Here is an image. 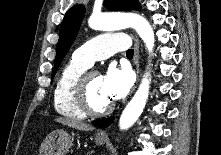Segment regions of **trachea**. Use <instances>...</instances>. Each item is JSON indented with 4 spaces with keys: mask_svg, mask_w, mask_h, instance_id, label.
Returning a JSON list of instances; mask_svg holds the SVG:
<instances>
[{
    "mask_svg": "<svg viewBox=\"0 0 221 155\" xmlns=\"http://www.w3.org/2000/svg\"><path fill=\"white\" fill-rule=\"evenodd\" d=\"M134 51L133 49H129L126 53L127 57H133Z\"/></svg>",
    "mask_w": 221,
    "mask_h": 155,
    "instance_id": "3493384b",
    "label": "trachea"
}]
</instances>
